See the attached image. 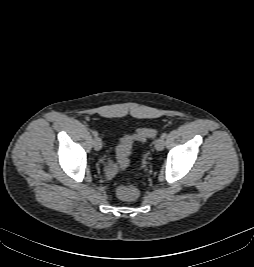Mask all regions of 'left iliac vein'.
<instances>
[{
  "mask_svg": "<svg viewBox=\"0 0 254 267\" xmlns=\"http://www.w3.org/2000/svg\"><path fill=\"white\" fill-rule=\"evenodd\" d=\"M164 146H165L164 138L160 137V138L156 139V141H155L156 150L161 151L164 149Z\"/></svg>",
  "mask_w": 254,
  "mask_h": 267,
  "instance_id": "1",
  "label": "left iliac vein"
}]
</instances>
